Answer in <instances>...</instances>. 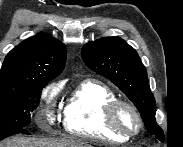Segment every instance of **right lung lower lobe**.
I'll return each instance as SVG.
<instances>
[{
    "label": "right lung lower lobe",
    "instance_id": "1",
    "mask_svg": "<svg viewBox=\"0 0 183 147\" xmlns=\"http://www.w3.org/2000/svg\"><path fill=\"white\" fill-rule=\"evenodd\" d=\"M18 133L29 134V133L25 130V128H20V129H17V130H14V131L9 132V133H8L7 135H5V136H1V137H0V140L4 139V138H6V137H9V136L18 134Z\"/></svg>",
    "mask_w": 183,
    "mask_h": 147
}]
</instances>
